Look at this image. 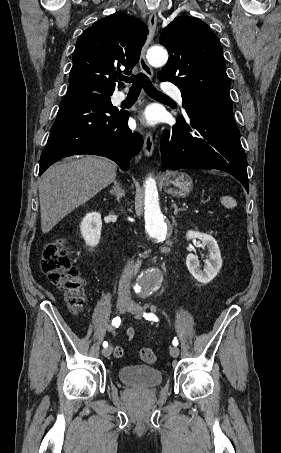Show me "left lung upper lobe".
I'll return each instance as SVG.
<instances>
[{
    "label": "left lung upper lobe",
    "mask_w": 281,
    "mask_h": 453,
    "mask_svg": "<svg viewBox=\"0 0 281 453\" xmlns=\"http://www.w3.org/2000/svg\"><path fill=\"white\" fill-rule=\"evenodd\" d=\"M159 41L167 48L169 60L158 78L171 81L181 90L184 107L231 103L221 44L206 23L195 17H176Z\"/></svg>",
    "instance_id": "1"
}]
</instances>
